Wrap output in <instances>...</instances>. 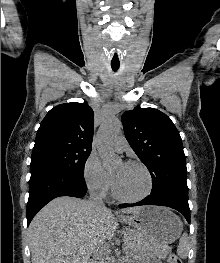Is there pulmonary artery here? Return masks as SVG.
Here are the masks:
<instances>
[{
  "instance_id": "pulmonary-artery-1",
  "label": "pulmonary artery",
  "mask_w": 220,
  "mask_h": 263,
  "mask_svg": "<svg viewBox=\"0 0 220 263\" xmlns=\"http://www.w3.org/2000/svg\"><path fill=\"white\" fill-rule=\"evenodd\" d=\"M113 145H114V148L119 152H123L124 150L128 148V142L123 135L116 137Z\"/></svg>"
}]
</instances>
